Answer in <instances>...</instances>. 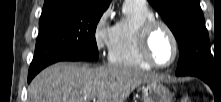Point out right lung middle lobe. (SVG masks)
Masks as SVG:
<instances>
[{
    "label": "right lung middle lobe",
    "instance_id": "obj_1",
    "mask_svg": "<svg viewBox=\"0 0 221 102\" xmlns=\"http://www.w3.org/2000/svg\"><path fill=\"white\" fill-rule=\"evenodd\" d=\"M107 9L79 2L66 7L42 10L35 55L29 74H37L58 61L98 59L95 30Z\"/></svg>",
    "mask_w": 221,
    "mask_h": 102
}]
</instances>
